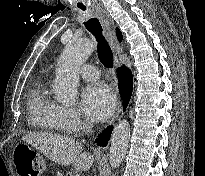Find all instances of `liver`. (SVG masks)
<instances>
[{"instance_id":"obj_1","label":"liver","mask_w":205,"mask_h":176,"mask_svg":"<svg viewBox=\"0 0 205 176\" xmlns=\"http://www.w3.org/2000/svg\"><path fill=\"white\" fill-rule=\"evenodd\" d=\"M22 139L59 165L73 164L78 171H87L93 165L94 156L83 152L82 143L71 137L52 133H34L25 135Z\"/></svg>"}]
</instances>
